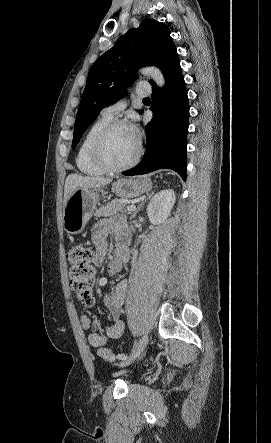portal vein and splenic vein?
Returning <instances> with one entry per match:
<instances>
[{"label": "portal vein and splenic vein", "instance_id": "portal-vein-and-splenic-vein-1", "mask_svg": "<svg viewBox=\"0 0 271 443\" xmlns=\"http://www.w3.org/2000/svg\"><path fill=\"white\" fill-rule=\"evenodd\" d=\"M136 210V206H128L127 212H134Z\"/></svg>", "mask_w": 271, "mask_h": 443}]
</instances>
